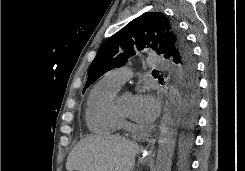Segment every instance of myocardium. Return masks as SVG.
Wrapping results in <instances>:
<instances>
[{
    "label": "myocardium",
    "mask_w": 245,
    "mask_h": 171,
    "mask_svg": "<svg viewBox=\"0 0 245 171\" xmlns=\"http://www.w3.org/2000/svg\"><path fill=\"white\" fill-rule=\"evenodd\" d=\"M115 110H116L118 116H119L122 120H125V121L129 120L130 117H129L128 115L124 114L123 112H121V111L117 108V106L115 107Z\"/></svg>",
    "instance_id": "obj_1"
}]
</instances>
